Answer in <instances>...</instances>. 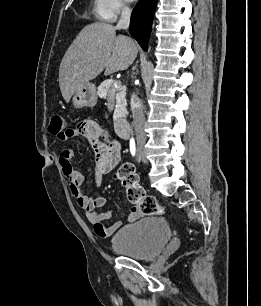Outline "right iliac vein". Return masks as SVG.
Returning a JSON list of instances; mask_svg holds the SVG:
<instances>
[{
	"label": "right iliac vein",
	"instance_id": "63e3f726",
	"mask_svg": "<svg viewBox=\"0 0 261 306\" xmlns=\"http://www.w3.org/2000/svg\"><path fill=\"white\" fill-rule=\"evenodd\" d=\"M137 145H138V154H139V157L146 162V159H145V153H144V150H143V145H144V142L142 140H138L137 141Z\"/></svg>",
	"mask_w": 261,
	"mask_h": 306
}]
</instances>
